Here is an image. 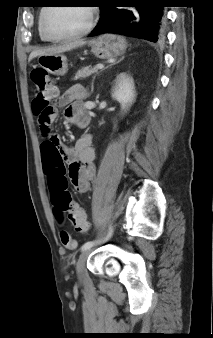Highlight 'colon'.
Returning <instances> with one entry per match:
<instances>
[{"label":"colon","mask_w":213,"mask_h":338,"mask_svg":"<svg viewBox=\"0 0 213 338\" xmlns=\"http://www.w3.org/2000/svg\"><path fill=\"white\" fill-rule=\"evenodd\" d=\"M33 82V103L32 109L41 126V132L46 140L42 148L46 153H50L54 147L61 145V139L57 135L49 136L48 123L54 116L52 101L57 95V86L52 78L42 69L34 70L31 74ZM65 183L56 185L51 197L55 210L60 214H67L69 220L74 225L77 232H86L89 223L83 209L73 200L72 196L65 190ZM60 241L67 249H74L75 240L67 231L60 232Z\"/></svg>","instance_id":"obj_1"}]
</instances>
